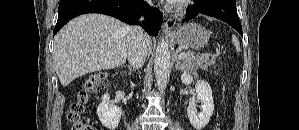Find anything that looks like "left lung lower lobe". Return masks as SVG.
<instances>
[{"label":"left lung lower lobe","mask_w":299,"mask_h":130,"mask_svg":"<svg viewBox=\"0 0 299 130\" xmlns=\"http://www.w3.org/2000/svg\"><path fill=\"white\" fill-rule=\"evenodd\" d=\"M194 2L193 7L187 8L188 16L183 22L194 18L198 14H205L228 23L243 36L242 26L236 12L235 0H194Z\"/></svg>","instance_id":"obj_1"}]
</instances>
